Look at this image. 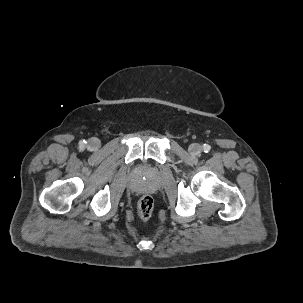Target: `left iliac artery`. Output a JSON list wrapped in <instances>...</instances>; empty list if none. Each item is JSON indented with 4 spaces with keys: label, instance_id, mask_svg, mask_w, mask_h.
Returning a JSON list of instances; mask_svg holds the SVG:
<instances>
[{
    "label": "left iliac artery",
    "instance_id": "left-iliac-artery-1",
    "mask_svg": "<svg viewBox=\"0 0 303 303\" xmlns=\"http://www.w3.org/2000/svg\"><path fill=\"white\" fill-rule=\"evenodd\" d=\"M210 149H211L210 145H208V144H204V145H203V151H204V152L207 153V152L210 151Z\"/></svg>",
    "mask_w": 303,
    "mask_h": 303
}]
</instances>
